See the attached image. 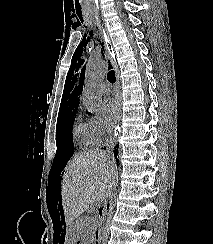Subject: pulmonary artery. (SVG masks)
<instances>
[{
  "label": "pulmonary artery",
  "mask_w": 213,
  "mask_h": 244,
  "mask_svg": "<svg viewBox=\"0 0 213 244\" xmlns=\"http://www.w3.org/2000/svg\"><path fill=\"white\" fill-rule=\"evenodd\" d=\"M101 91L104 94H109L111 92V85L109 83H102L101 84Z\"/></svg>",
  "instance_id": "pulmonary-artery-1"
}]
</instances>
